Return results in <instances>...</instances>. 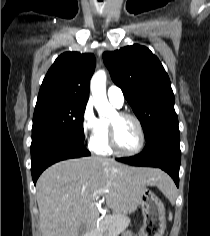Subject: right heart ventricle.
I'll return each instance as SVG.
<instances>
[{
	"mask_svg": "<svg viewBox=\"0 0 210 236\" xmlns=\"http://www.w3.org/2000/svg\"><path fill=\"white\" fill-rule=\"evenodd\" d=\"M109 120H100V131L90 142V149L98 155H111L113 153L109 145Z\"/></svg>",
	"mask_w": 210,
	"mask_h": 236,
	"instance_id": "1",
	"label": "right heart ventricle"
}]
</instances>
